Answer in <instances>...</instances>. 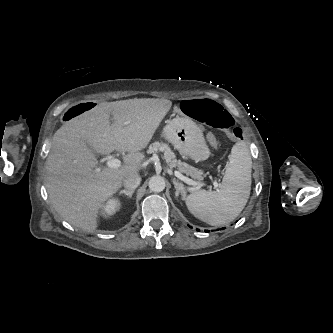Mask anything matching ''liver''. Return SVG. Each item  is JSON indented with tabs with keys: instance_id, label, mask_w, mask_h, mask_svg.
Segmentation results:
<instances>
[{
	"instance_id": "1",
	"label": "liver",
	"mask_w": 333,
	"mask_h": 333,
	"mask_svg": "<svg viewBox=\"0 0 333 333\" xmlns=\"http://www.w3.org/2000/svg\"><path fill=\"white\" fill-rule=\"evenodd\" d=\"M171 106L170 100L149 98L102 102L55 132L45 181L50 202L64 220L89 233L96 230L99 210L128 174L141 170L145 158L141 151ZM114 150L127 152L124 164L95 169V153Z\"/></svg>"
}]
</instances>
